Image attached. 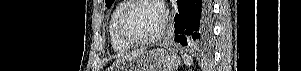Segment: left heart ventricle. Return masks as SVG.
<instances>
[{
  "label": "left heart ventricle",
  "instance_id": "left-heart-ventricle-1",
  "mask_svg": "<svg viewBox=\"0 0 301 71\" xmlns=\"http://www.w3.org/2000/svg\"><path fill=\"white\" fill-rule=\"evenodd\" d=\"M161 11L154 5L142 2L130 9L126 18V29L135 39L154 35L162 24Z\"/></svg>",
  "mask_w": 301,
  "mask_h": 71
}]
</instances>
